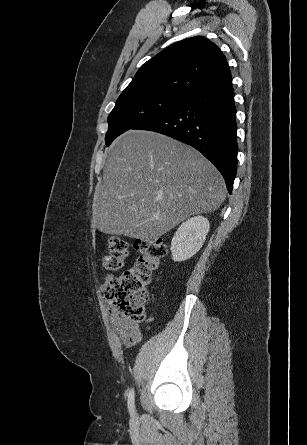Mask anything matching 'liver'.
Returning <instances> with one entry per match:
<instances>
[{"instance_id":"1","label":"liver","mask_w":307,"mask_h":445,"mask_svg":"<svg viewBox=\"0 0 307 445\" xmlns=\"http://www.w3.org/2000/svg\"><path fill=\"white\" fill-rule=\"evenodd\" d=\"M107 150L93 200L100 233L149 243L192 214L217 210L226 198L214 164L175 138L127 130Z\"/></svg>"}]
</instances>
